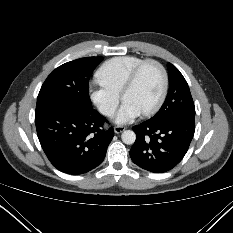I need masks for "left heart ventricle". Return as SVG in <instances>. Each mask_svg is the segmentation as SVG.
Listing matches in <instances>:
<instances>
[{
  "label": "left heart ventricle",
  "mask_w": 233,
  "mask_h": 233,
  "mask_svg": "<svg viewBox=\"0 0 233 233\" xmlns=\"http://www.w3.org/2000/svg\"><path fill=\"white\" fill-rule=\"evenodd\" d=\"M162 90V75L158 67L147 65L141 72L136 84L124 96V101L131 103L140 112L155 105Z\"/></svg>",
  "instance_id": "obj_1"
}]
</instances>
